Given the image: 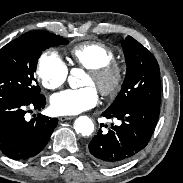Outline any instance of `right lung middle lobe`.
<instances>
[{"label": "right lung middle lobe", "instance_id": "right-lung-middle-lobe-1", "mask_svg": "<svg viewBox=\"0 0 183 183\" xmlns=\"http://www.w3.org/2000/svg\"><path fill=\"white\" fill-rule=\"evenodd\" d=\"M67 43L58 35L35 30L5 45L0 50V97L40 94L34 72L42 51Z\"/></svg>", "mask_w": 183, "mask_h": 183}]
</instances>
